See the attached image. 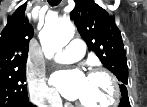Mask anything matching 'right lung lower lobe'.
<instances>
[{"mask_svg":"<svg viewBox=\"0 0 147 107\" xmlns=\"http://www.w3.org/2000/svg\"><path fill=\"white\" fill-rule=\"evenodd\" d=\"M12 107H35V106L31 104L29 101H26V102L15 104Z\"/></svg>","mask_w":147,"mask_h":107,"instance_id":"right-lung-lower-lobe-1","label":"right lung lower lobe"}]
</instances>
